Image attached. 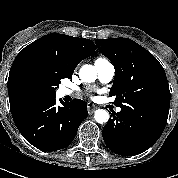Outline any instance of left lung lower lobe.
Here are the masks:
<instances>
[{
    "instance_id": "left-lung-lower-lobe-1",
    "label": "left lung lower lobe",
    "mask_w": 178,
    "mask_h": 178,
    "mask_svg": "<svg viewBox=\"0 0 178 178\" xmlns=\"http://www.w3.org/2000/svg\"><path fill=\"white\" fill-rule=\"evenodd\" d=\"M166 121L121 108L103 128L106 146L116 154L134 156L149 149L161 136Z\"/></svg>"
}]
</instances>
